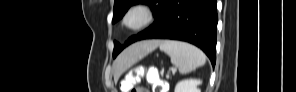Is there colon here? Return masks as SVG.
I'll use <instances>...</instances> for the list:
<instances>
[{"label":"colon","instance_id":"5ec220e1","mask_svg":"<svg viewBox=\"0 0 296 92\" xmlns=\"http://www.w3.org/2000/svg\"><path fill=\"white\" fill-rule=\"evenodd\" d=\"M144 77L153 86L154 92H163L164 82L160 79L158 71L154 67H135L130 70L122 80V89L127 92H148L147 89L135 85L137 80Z\"/></svg>","mask_w":296,"mask_h":92}]
</instances>
